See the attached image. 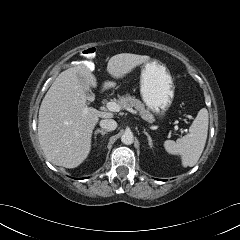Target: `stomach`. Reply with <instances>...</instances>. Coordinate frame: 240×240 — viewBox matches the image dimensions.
I'll list each match as a JSON object with an SVG mask.
<instances>
[{
    "label": "stomach",
    "instance_id": "1",
    "mask_svg": "<svg viewBox=\"0 0 240 240\" xmlns=\"http://www.w3.org/2000/svg\"><path fill=\"white\" fill-rule=\"evenodd\" d=\"M174 90L172 76L162 62L152 59L144 64L140 76V94L148 109L165 115L173 102Z\"/></svg>",
    "mask_w": 240,
    "mask_h": 240
}]
</instances>
